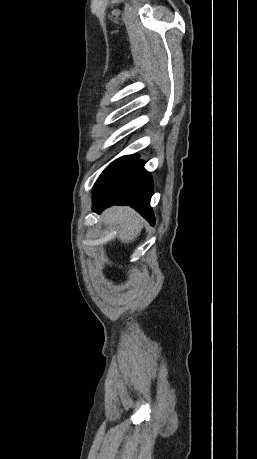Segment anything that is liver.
Listing matches in <instances>:
<instances>
[{"instance_id":"6515ba94","label":"liver","mask_w":257,"mask_h":459,"mask_svg":"<svg viewBox=\"0 0 257 459\" xmlns=\"http://www.w3.org/2000/svg\"><path fill=\"white\" fill-rule=\"evenodd\" d=\"M102 219L105 224L118 226V239L123 243L134 241L143 228V220L128 208H109L102 214Z\"/></svg>"}]
</instances>
